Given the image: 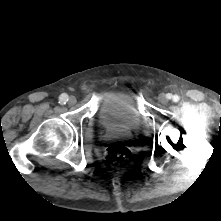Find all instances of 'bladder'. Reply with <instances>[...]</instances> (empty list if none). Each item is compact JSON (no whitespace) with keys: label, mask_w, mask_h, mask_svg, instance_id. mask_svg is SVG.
I'll list each match as a JSON object with an SVG mask.
<instances>
[{"label":"bladder","mask_w":221,"mask_h":221,"mask_svg":"<svg viewBox=\"0 0 221 221\" xmlns=\"http://www.w3.org/2000/svg\"><path fill=\"white\" fill-rule=\"evenodd\" d=\"M97 122L105 132H133L143 126L140 114L132 97L125 92H110L100 100Z\"/></svg>","instance_id":"obj_1"}]
</instances>
